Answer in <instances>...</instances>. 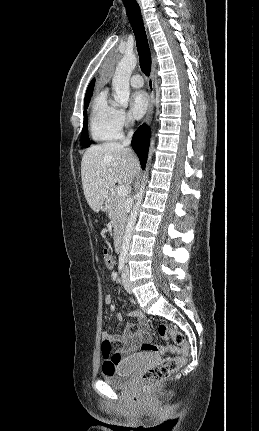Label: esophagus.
I'll return each instance as SVG.
<instances>
[{"label":"esophagus","instance_id":"1","mask_svg":"<svg viewBox=\"0 0 259 431\" xmlns=\"http://www.w3.org/2000/svg\"><path fill=\"white\" fill-rule=\"evenodd\" d=\"M139 4H140V2H139ZM155 72H156V58H155L154 53L152 52V67H151L150 77H149V80H148V90H149V94H150V99H149V106H148L147 114H146V117H145V120H144V122L146 124L150 123L151 117H152V114H153V109H154V101H155V91H154Z\"/></svg>","mask_w":259,"mask_h":431}]
</instances>
